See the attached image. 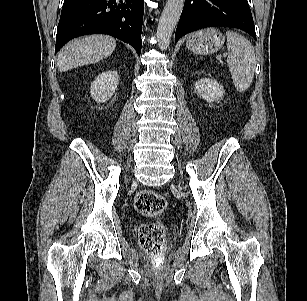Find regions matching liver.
Segmentation results:
<instances>
[{
    "mask_svg": "<svg viewBox=\"0 0 307 301\" xmlns=\"http://www.w3.org/2000/svg\"><path fill=\"white\" fill-rule=\"evenodd\" d=\"M116 48L114 38L107 35H89L66 44L58 53L57 67L60 72L96 63L113 53Z\"/></svg>",
    "mask_w": 307,
    "mask_h": 301,
    "instance_id": "obj_1",
    "label": "liver"
}]
</instances>
